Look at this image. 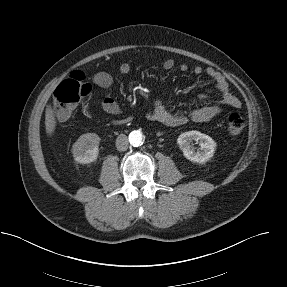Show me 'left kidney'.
<instances>
[{"instance_id":"1","label":"left kidney","mask_w":287,"mask_h":287,"mask_svg":"<svg viewBox=\"0 0 287 287\" xmlns=\"http://www.w3.org/2000/svg\"><path fill=\"white\" fill-rule=\"evenodd\" d=\"M199 143L200 148L195 150L192 142ZM177 143L185 158L195 163H205L213 157L216 142L208 135L199 131H188L179 135Z\"/></svg>"}]
</instances>
